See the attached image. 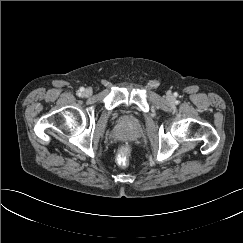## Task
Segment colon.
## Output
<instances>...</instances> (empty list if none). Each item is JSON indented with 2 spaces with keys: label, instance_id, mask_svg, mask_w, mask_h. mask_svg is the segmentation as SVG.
<instances>
[{
  "label": "colon",
  "instance_id": "1",
  "mask_svg": "<svg viewBox=\"0 0 243 243\" xmlns=\"http://www.w3.org/2000/svg\"><path fill=\"white\" fill-rule=\"evenodd\" d=\"M130 156V146L128 144H123L118 149L117 162L120 166L125 167L129 162Z\"/></svg>",
  "mask_w": 243,
  "mask_h": 243
}]
</instances>
